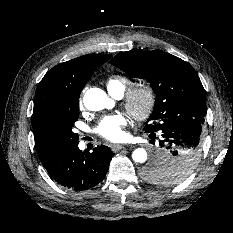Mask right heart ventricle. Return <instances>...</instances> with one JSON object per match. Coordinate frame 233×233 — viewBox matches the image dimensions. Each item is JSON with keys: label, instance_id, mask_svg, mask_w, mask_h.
Wrapping results in <instances>:
<instances>
[{"label": "right heart ventricle", "instance_id": "e07e8e85", "mask_svg": "<svg viewBox=\"0 0 233 233\" xmlns=\"http://www.w3.org/2000/svg\"><path fill=\"white\" fill-rule=\"evenodd\" d=\"M106 87L109 93L115 97L122 96L125 91L131 86V81L124 75L112 74L106 81Z\"/></svg>", "mask_w": 233, "mask_h": 233}]
</instances>
